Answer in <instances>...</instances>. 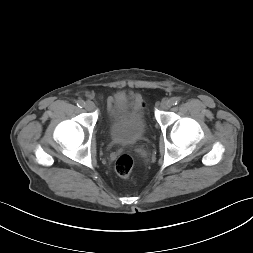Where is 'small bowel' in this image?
Here are the masks:
<instances>
[{
	"mask_svg": "<svg viewBox=\"0 0 253 253\" xmlns=\"http://www.w3.org/2000/svg\"><path fill=\"white\" fill-rule=\"evenodd\" d=\"M133 99L136 103V106H138L139 108L143 106V102L141 101V98L138 95H132ZM108 108L112 113H115V106H114V101L112 98H110L108 100Z\"/></svg>",
	"mask_w": 253,
	"mask_h": 253,
	"instance_id": "obj_1",
	"label": "small bowel"
}]
</instances>
